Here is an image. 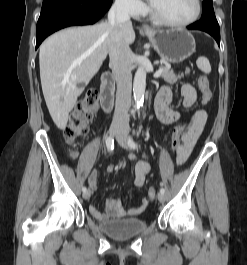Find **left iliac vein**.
<instances>
[{"instance_id":"left-iliac-vein-1","label":"left iliac vein","mask_w":247,"mask_h":265,"mask_svg":"<svg viewBox=\"0 0 247 265\" xmlns=\"http://www.w3.org/2000/svg\"><path fill=\"white\" fill-rule=\"evenodd\" d=\"M117 141L118 143L126 148V149H130L129 145L127 144V136H126V132L125 131H121L118 135H117ZM158 200L163 203L165 201V195L164 193H158Z\"/></svg>"}]
</instances>
